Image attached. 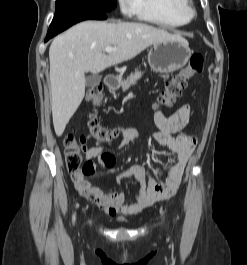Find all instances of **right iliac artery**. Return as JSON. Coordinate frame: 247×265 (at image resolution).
Here are the masks:
<instances>
[{
	"label": "right iliac artery",
	"instance_id": "82829eb1",
	"mask_svg": "<svg viewBox=\"0 0 247 265\" xmlns=\"http://www.w3.org/2000/svg\"><path fill=\"white\" fill-rule=\"evenodd\" d=\"M75 220V215L73 216V221Z\"/></svg>",
	"mask_w": 247,
	"mask_h": 265
}]
</instances>
